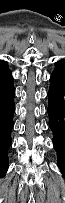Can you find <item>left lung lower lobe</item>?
<instances>
[{
  "label": "left lung lower lobe",
  "mask_w": 65,
  "mask_h": 203,
  "mask_svg": "<svg viewBox=\"0 0 65 203\" xmlns=\"http://www.w3.org/2000/svg\"><path fill=\"white\" fill-rule=\"evenodd\" d=\"M50 77L48 92L49 126L54 134L53 144L58 153V166L65 178V59L56 63Z\"/></svg>",
  "instance_id": "0a47b994"
}]
</instances>
